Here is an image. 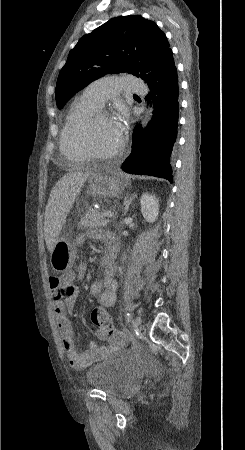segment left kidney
Returning <instances> with one entry per match:
<instances>
[{"mask_svg": "<svg viewBox=\"0 0 245 450\" xmlns=\"http://www.w3.org/2000/svg\"><path fill=\"white\" fill-rule=\"evenodd\" d=\"M140 204L143 217L150 223L155 222L159 214L158 199L146 193L142 195Z\"/></svg>", "mask_w": 245, "mask_h": 450, "instance_id": "left-kidney-1", "label": "left kidney"}]
</instances>
